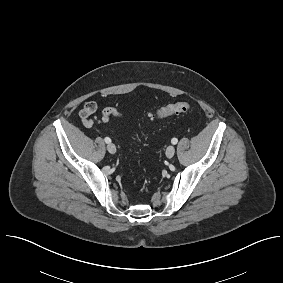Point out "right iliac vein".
I'll use <instances>...</instances> for the list:
<instances>
[{
	"label": "right iliac vein",
	"instance_id": "63e3f726",
	"mask_svg": "<svg viewBox=\"0 0 283 283\" xmlns=\"http://www.w3.org/2000/svg\"><path fill=\"white\" fill-rule=\"evenodd\" d=\"M107 150L109 153L114 154L116 153V146L113 143H109L107 145Z\"/></svg>",
	"mask_w": 283,
	"mask_h": 283
}]
</instances>
